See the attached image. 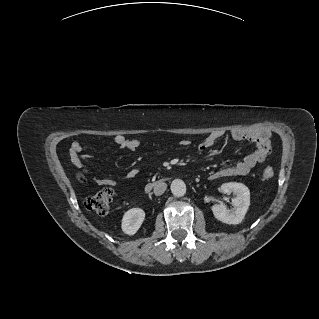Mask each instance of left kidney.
Here are the masks:
<instances>
[{
    "instance_id": "obj_1",
    "label": "left kidney",
    "mask_w": 319,
    "mask_h": 319,
    "mask_svg": "<svg viewBox=\"0 0 319 319\" xmlns=\"http://www.w3.org/2000/svg\"><path fill=\"white\" fill-rule=\"evenodd\" d=\"M224 194L233 193L235 197L232 199L233 209L229 210L223 204H216L211 207L214 217L226 224H239L245 217L250 206V191L247 186L242 183L229 182L221 186Z\"/></svg>"
}]
</instances>
